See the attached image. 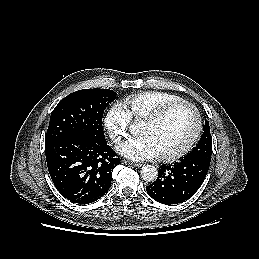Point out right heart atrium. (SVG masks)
Listing matches in <instances>:
<instances>
[{"label":"right heart atrium","instance_id":"1","mask_svg":"<svg viewBox=\"0 0 259 259\" xmlns=\"http://www.w3.org/2000/svg\"><path fill=\"white\" fill-rule=\"evenodd\" d=\"M104 127L114 142L127 136L131 124V115L121 102L113 103L104 116Z\"/></svg>","mask_w":259,"mask_h":259}]
</instances>
